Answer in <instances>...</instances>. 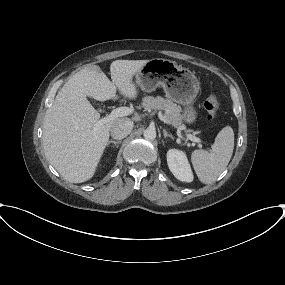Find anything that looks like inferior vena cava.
I'll use <instances>...</instances> for the list:
<instances>
[{"instance_id": "obj_1", "label": "inferior vena cava", "mask_w": 285, "mask_h": 285, "mask_svg": "<svg viewBox=\"0 0 285 285\" xmlns=\"http://www.w3.org/2000/svg\"><path fill=\"white\" fill-rule=\"evenodd\" d=\"M133 129V122L127 118L117 119L110 129L114 139L121 140L127 137Z\"/></svg>"}]
</instances>
